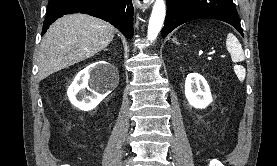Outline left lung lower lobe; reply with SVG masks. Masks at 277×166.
Returning <instances> with one entry per match:
<instances>
[{"mask_svg": "<svg viewBox=\"0 0 277 166\" xmlns=\"http://www.w3.org/2000/svg\"><path fill=\"white\" fill-rule=\"evenodd\" d=\"M205 18L227 22L243 36L233 0H167V14L162 29V38L181 24Z\"/></svg>", "mask_w": 277, "mask_h": 166, "instance_id": "1", "label": "left lung lower lobe"}]
</instances>
